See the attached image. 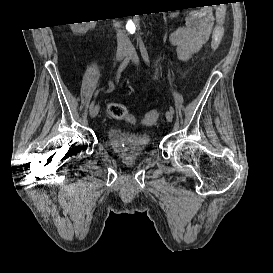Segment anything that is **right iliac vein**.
Segmentation results:
<instances>
[{
	"label": "right iliac vein",
	"instance_id": "right-iliac-vein-1",
	"mask_svg": "<svg viewBox=\"0 0 273 273\" xmlns=\"http://www.w3.org/2000/svg\"><path fill=\"white\" fill-rule=\"evenodd\" d=\"M127 53H128L127 50H119L117 52L116 61L117 62L122 61L125 58V56L127 55ZM98 112H99V106L96 105L90 110L89 115L91 118H94V117H96Z\"/></svg>",
	"mask_w": 273,
	"mask_h": 273
}]
</instances>
